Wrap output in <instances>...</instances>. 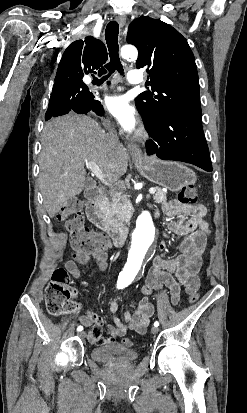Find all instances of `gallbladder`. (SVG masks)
<instances>
[{
    "mask_svg": "<svg viewBox=\"0 0 247 413\" xmlns=\"http://www.w3.org/2000/svg\"><path fill=\"white\" fill-rule=\"evenodd\" d=\"M85 182H86V184H87V182H90V178H86Z\"/></svg>",
    "mask_w": 247,
    "mask_h": 413,
    "instance_id": "obj_1",
    "label": "gallbladder"
}]
</instances>
